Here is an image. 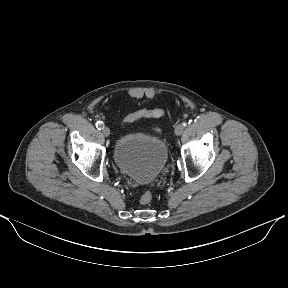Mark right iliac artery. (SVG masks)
Here are the masks:
<instances>
[{
  "instance_id": "1",
  "label": "right iliac artery",
  "mask_w": 288,
  "mask_h": 288,
  "mask_svg": "<svg viewBox=\"0 0 288 288\" xmlns=\"http://www.w3.org/2000/svg\"><path fill=\"white\" fill-rule=\"evenodd\" d=\"M96 127L98 130H101L104 128V123L102 121H97Z\"/></svg>"
}]
</instances>
